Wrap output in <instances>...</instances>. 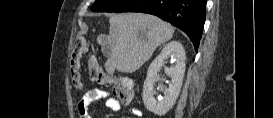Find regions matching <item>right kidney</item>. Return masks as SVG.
I'll use <instances>...</instances> for the list:
<instances>
[{"label":"right kidney","instance_id":"right-kidney-1","mask_svg":"<svg viewBox=\"0 0 273 118\" xmlns=\"http://www.w3.org/2000/svg\"><path fill=\"white\" fill-rule=\"evenodd\" d=\"M168 57H171V63H175L170 68L165 67V73L170 77L171 81L168 88L162 89L164 96L157 98L154 84L160 81L158 72ZM185 59L186 54L182 44L178 41H172L165 45L161 53L151 63L147 71L142 94L143 103L147 110L157 115H164L175 104L181 91L185 73Z\"/></svg>","mask_w":273,"mask_h":118}]
</instances>
